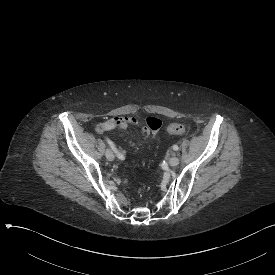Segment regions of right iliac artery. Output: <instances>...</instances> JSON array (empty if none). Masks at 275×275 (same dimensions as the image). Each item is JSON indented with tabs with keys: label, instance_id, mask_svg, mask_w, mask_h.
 I'll use <instances>...</instances> for the list:
<instances>
[{
	"label": "right iliac artery",
	"instance_id": "right-iliac-artery-1",
	"mask_svg": "<svg viewBox=\"0 0 275 275\" xmlns=\"http://www.w3.org/2000/svg\"><path fill=\"white\" fill-rule=\"evenodd\" d=\"M106 141L108 142V144L110 145V147L112 148V150L116 152V149H115L113 143L111 142V140H110L109 138H106ZM117 156H118V158L121 159V160L124 159V156H123L122 154H120V153L117 154Z\"/></svg>",
	"mask_w": 275,
	"mask_h": 275
}]
</instances>
